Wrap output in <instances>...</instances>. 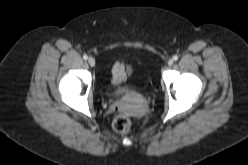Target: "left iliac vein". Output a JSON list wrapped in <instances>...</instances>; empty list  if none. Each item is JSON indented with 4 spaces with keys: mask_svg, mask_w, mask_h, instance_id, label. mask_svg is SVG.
Masks as SVG:
<instances>
[{
    "mask_svg": "<svg viewBox=\"0 0 248 165\" xmlns=\"http://www.w3.org/2000/svg\"><path fill=\"white\" fill-rule=\"evenodd\" d=\"M173 62H174L173 59H169L168 62H167L168 66H172Z\"/></svg>",
    "mask_w": 248,
    "mask_h": 165,
    "instance_id": "left-iliac-vein-1",
    "label": "left iliac vein"
}]
</instances>
